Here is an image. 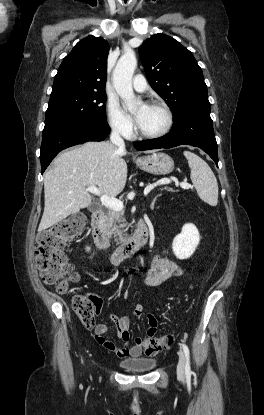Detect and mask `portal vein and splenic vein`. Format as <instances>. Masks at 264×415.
I'll list each match as a JSON object with an SVG mask.
<instances>
[{
  "label": "portal vein and splenic vein",
  "instance_id": "18ae733b",
  "mask_svg": "<svg viewBox=\"0 0 264 415\" xmlns=\"http://www.w3.org/2000/svg\"><path fill=\"white\" fill-rule=\"evenodd\" d=\"M171 182L170 179H163L155 184L149 185L144 189V195L146 196L154 187L162 184H169ZM177 185H179L183 189H189L191 188V185L187 182H178L175 181ZM87 191L91 192L92 194H95L97 196H100L101 203L112 210L115 211H121L124 208L123 202L120 200H117L115 198H111L108 195L102 194L101 191L96 186H89L87 188Z\"/></svg>",
  "mask_w": 264,
  "mask_h": 415
}]
</instances>
